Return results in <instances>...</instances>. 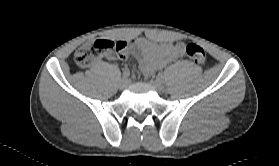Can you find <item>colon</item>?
<instances>
[{"label": "colon", "mask_w": 279, "mask_h": 166, "mask_svg": "<svg viewBox=\"0 0 279 166\" xmlns=\"http://www.w3.org/2000/svg\"><path fill=\"white\" fill-rule=\"evenodd\" d=\"M127 47L124 41H113L110 39H93L80 47L75 53V61L80 67H88L94 64L99 58L109 54H119ZM187 56L195 64H204L206 61L205 50L194 43L186 46Z\"/></svg>", "instance_id": "colon-1"}]
</instances>
